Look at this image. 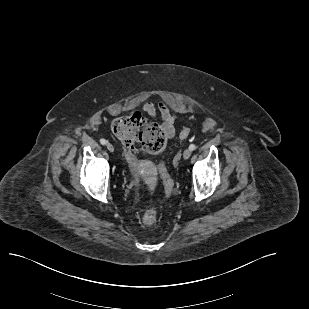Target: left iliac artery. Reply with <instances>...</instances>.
<instances>
[{
	"mask_svg": "<svg viewBox=\"0 0 309 309\" xmlns=\"http://www.w3.org/2000/svg\"><path fill=\"white\" fill-rule=\"evenodd\" d=\"M189 149H190L191 151L195 150V149H196L195 144H191V145L189 146Z\"/></svg>",
	"mask_w": 309,
	"mask_h": 309,
	"instance_id": "44dca946",
	"label": "left iliac artery"
}]
</instances>
